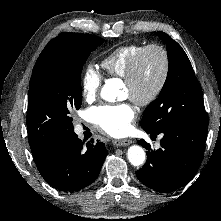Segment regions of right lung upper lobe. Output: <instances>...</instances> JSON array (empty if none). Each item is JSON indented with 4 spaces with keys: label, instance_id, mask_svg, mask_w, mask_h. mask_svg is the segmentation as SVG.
<instances>
[{
    "label": "right lung upper lobe",
    "instance_id": "right-lung-upper-lobe-1",
    "mask_svg": "<svg viewBox=\"0 0 221 221\" xmlns=\"http://www.w3.org/2000/svg\"><path fill=\"white\" fill-rule=\"evenodd\" d=\"M68 34H72V33H61L59 36H57L53 40L63 39ZM27 130H28V135H29L30 148H31L32 155L34 157L35 162H39L44 157V154L46 153V151H48L49 148L52 146V144L58 139L63 137L57 134V135H51L39 141L37 140L35 133L31 129H27Z\"/></svg>",
    "mask_w": 221,
    "mask_h": 221
}]
</instances>
